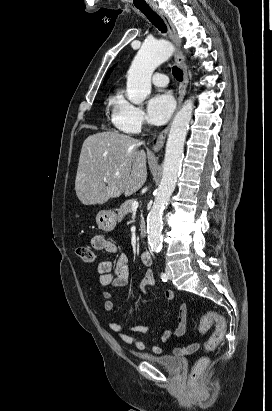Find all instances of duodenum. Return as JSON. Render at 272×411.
I'll return each instance as SVG.
<instances>
[{"label": "duodenum", "mask_w": 272, "mask_h": 411, "mask_svg": "<svg viewBox=\"0 0 272 411\" xmlns=\"http://www.w3.org/2000/svg\"><path fill=\"white\" fill-rule=\"evenodd\" d=\"M141 259H142L143 263L146 264V265H151L153 263V257L147 249H144L141 252Z\"/></svg>", "instance_id": "410a0bca"}]
</instances>
